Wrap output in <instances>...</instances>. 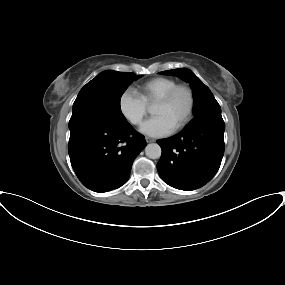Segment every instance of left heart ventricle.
Instances as JSON below:
<instances>
[{
	"label": "left heart ventricle",
	"mask_w": 285,
	"mask_h": 285,
	"mask_svg": "<svg viewBox=\"0 0 285 285\" xmlns=\"http://www.w3.org/2000/svg\"><path fill=\"white\" fill-rule=\"evenodd\" d=\"M189 108V97L185 91H180L168 105H155L153 115L161 116L174 128L185 117Z\"/></svg>",
	"instance_id": "1"
}]
</instances>
